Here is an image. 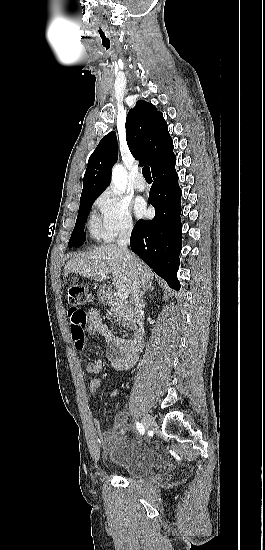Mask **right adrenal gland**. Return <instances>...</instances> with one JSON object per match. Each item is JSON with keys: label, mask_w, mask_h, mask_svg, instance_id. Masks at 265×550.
<instances>
[{"label": "right adrenal gland", "mask_w": 265, "mask_h": 550, "mask_svg": "<svg viewBox=\"0 0 265 550\" xmlns=\"http://www.w3.org/2000/svg\"><path fill=\"white\" fill-rule=\"evenodd\" d=\"M149 290H154L152 281L150 283H148L147 285H145L142 288V291L140 292V299H141V302H142L143 305H144L143 295Z\"/></svg>", "instance_id": "right-adrenal-gland-1"}]
</instances>
